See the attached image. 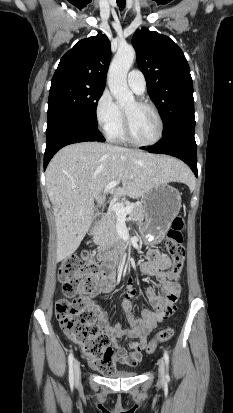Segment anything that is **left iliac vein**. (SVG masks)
Returning a JSON list of instances; mask_svg holds the SVG:
<instances>
[{"instance_id": "4c4485c4", "label": "left iliac vein", "mask_w": 233, "mask_h": 413, "mask_svg": "<svg viewBox=\"0 0 233 413\" xmlns=\"http://www.w3.org/2000/svg\"><path fill=\"white\" fill-rule=\"evenodd\" d=\"M159 365V382L162 383L165 380V363L164 359L161 358L158 362Z\"/></svg>"}]
</instances>
